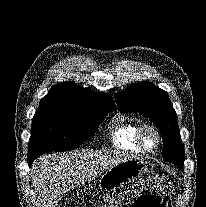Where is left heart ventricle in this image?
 <instances>
[{"label": "left heart ventricle", "instance_id": "b2bd125f", "mask_svg": "<svg viewBox=\"0 0 206 207\" xmlns=\"http://www.w3.org/2000/svg\"><path fill=\"white\" fill-rule=\"evenodd\" d=\"M144 140L147 146L152 147L156 142V137L151 131H146L144 134Z\"/></svg>", "mask_w": 206, "mask_h": 207}]
</instances>
